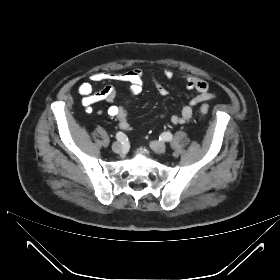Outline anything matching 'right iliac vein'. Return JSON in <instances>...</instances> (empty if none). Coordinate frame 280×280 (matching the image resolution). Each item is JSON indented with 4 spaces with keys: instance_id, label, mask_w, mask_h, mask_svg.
<instances>
[{
    "instance_id": "right-iliac-vein-1",
    "label": "right iliac vein",
    "mask_w": 280,
    "mask_h": 280,
    "mask_svg": "<svg viewBox=\"0 0 280 280\" xmlns=\"http://www.w3.org/2000/svg\"><path fill=\"white\" fill-rule=\"evenodd\" d=\"M112 150L115 153H121L123 151V146L119 142H115L112 145Z\"/></svg>"
}]
</instances>
